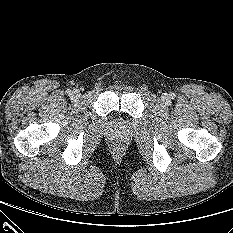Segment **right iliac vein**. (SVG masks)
Returning <instances> with one entry per match:
<instances>
[{
    "mask_svg": "<svg viewBox=\"0 0 233 233\" xmlns=\"http://www.w3.org/2000/svg\"><path fill=\"white\" fill-rule=\"evenodd\" d=\"M80 95H81V93H80V91H79L78 89H74V90L72 91V96H73L74 98H78V97H80Z\"/></svg>",
    "mask_w": 233,
    "mask_h": 233,
    "instance_id": "1",
    "label": "right iliac vein"
}]
</instances>
